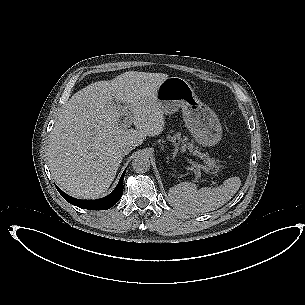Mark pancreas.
Here are the masks:
<instances>
[{"label": "pancreas", "mask_w": 305, "mask_h": 305, "mask_svg": "<svg viewBox=\"0 0 305 305\" xmlns=\"http://www.w3.org/2000/svg\"><path fill=\"white\" fill-rule=\"evenodd\" d=\"M175 139L179 140L182 143L181 150L183 152L188 150L191 154L203 159L210 169L219 170L221 168L220 165L216 164V161L214 159H211L207 154L202 153L198 147H195L193 142H189L187 137L182 138L180 133H176Z\"/></svg>", "instance_id": "pancreas-1"}]
</instances>
